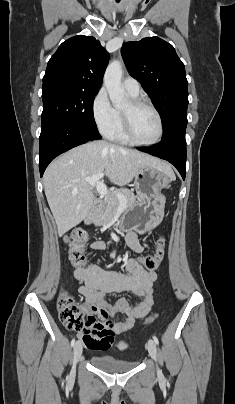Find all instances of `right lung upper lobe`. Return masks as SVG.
Masks as SVG:
<instances>
[{"label":"right lung upper lobe","instance_id":"obj_1","mask_svg":"<svg viewBox=\"0 0 235 404\" xmlns=\"http://www.w3.org/2000/svg\"><path fill=\"white\" fill-rule=\"evenodd\" d=\"M109 55L94 37L74 36L63 42L47 64L43 86L61 84L98 92Z\"/></svg>","mask_w":235,"mask_h":404}]
</instances>
